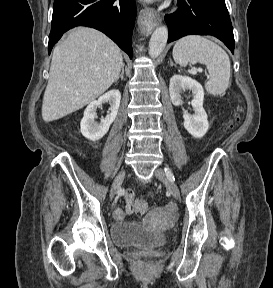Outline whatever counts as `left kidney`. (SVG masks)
I'll return each mask as SVG.
<instances>
[{
  "mask_svg": "<svg viewBox=\"0 0 273 288\" xmlns=\"http://www.w3.org/2000/svg\"><path fill=\"white\" fill-rule=\"evenodd\" d=\"M191 90L193 99L191 105L194 114L190 115L183 111L184 128L195 138L203 137L209 128L207 114L203 108L204 90L196 80L182 75H174L170 79L169 93L175 106L182 105L181 93L184 90Z\"/></svg>",
  "mask_w": 273,
  "mask_h": 288,
  "instance_id": "obj_1",
  "label": "left kidney"
}]
</instances>
